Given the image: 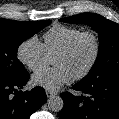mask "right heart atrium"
I'll return each mask as SVG.
<instances>
[{
    "label": "right heart atrium",
    "instance_id": "right-heart-atrium-1",
    "mask_svg": "<svg viewBox=\"0 0 119 119\" xmlns=\"http://www.w3.org/2000/svg\"><path fill=\"white\" fill-rule=\"evenodd\" d=\"M17 57L31 71L44 68L50 59L43 43L36 37L26 39L18 46Z\"/></svg>",
    "mask_w": 119,
    "mask_h": 119
}]
</instances>
